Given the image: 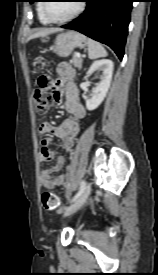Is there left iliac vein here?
<instances>
[{
	"instance_id": "4c4485c4",
	"label": "left iliac vein",
	"mask_w": 158,
	"mask_h": 275,
	"mask_svg": "<svg viewBox=\"0 0 158 275\" xmlns=\"http://www.w3.org/2000/svg\"><path fill=\"white\" fill-rule=\"evenodd\" d=\"M91 192V187L89 183L85 184V188L81 195L66 209L65 215H70L76 212L87 200Z\"/></svg>"
}]
</instances>
